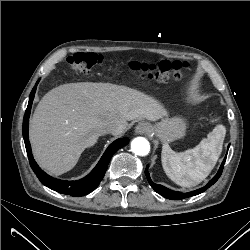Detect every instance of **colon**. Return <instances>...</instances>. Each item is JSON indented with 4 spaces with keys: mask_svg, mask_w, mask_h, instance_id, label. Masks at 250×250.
I'll use <instances>...</instances> for the list:
<instances>
[{
    "mask_svg": "<svg viewBox=\"0 0 250 250\" xmlns=\"http://www.w3.org/2000/svg\"><path fill=\"white\" fill-rule=\"evenodd\" d=\"M103 59L95 53H77L68 59V64L74 74H90L97 68ZM130 70L139 74L142 78L155 80L157 82H167L169 80H181L189 68L187 62L181 61H163L158 64H147L140 62H131ZM217 119L212 118L215 122Z\"/></svg>",
    "mask_w": 250,
    "mask_h": 250,
    "instance_id": "colon-1",
    "label": "colon"
}]
</instances>
